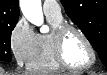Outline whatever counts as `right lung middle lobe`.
Masks as SVG:
<instances>
[{"instance_id":"obj_1","label":"right lung middle lobe","mask_w":107,"mask_h":75,"mask_svg":"<svg viewBox=\"0 0 107 75\" xmlns=\"http://www.w3.org/2000/svg\"><path fill=\"white\" fill-rule=\"evenodd\" d=\"M16 23L0 25V61L10 62L11 57V33Z\"/></svg>"}]
</instances>
